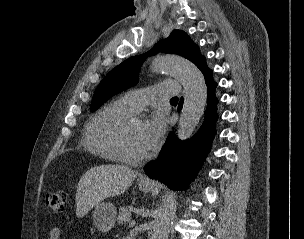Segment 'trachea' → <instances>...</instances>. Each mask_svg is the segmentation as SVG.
Here are the masks:
<instances>
[{
	"label": "trachea",
	"mask_w": 304,
	"mask_h": 239,
	"mask_svg": "<svg viewBox=\"0 0 304 239\" xmlns=\"http://www.w3.org/2000/svg\"><path fill=\"white\" fill-rule=\"evenodd\" d=\"M170 101H172V102H178V97H173V98H171Z\"/></svg>",
	"instance_id": "obj_1"
}]
</instances>
